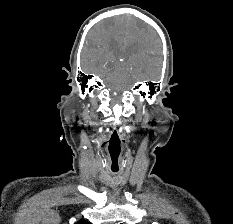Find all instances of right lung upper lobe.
I'll return each mask as SVG.
<instances>
[{
  "mask_svg": "<svg viewBox=\"0 0 233 224\" xmlns=\"http://www.w3.org/2000/svg\"><path fill=\"white\" fill-rule=\"evenodd\" d=\"M75 224H90V223L88 221H86V220H80Z\"/></svg>",
  "mask_w": 233,
  "mask_h": 224,
  "instance_id": "cb5924a9",
  "label": "right lung upper lobe"
}]
</instances>
